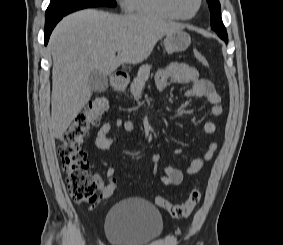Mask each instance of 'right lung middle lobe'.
<instances>
[{"label": "right lung middle lobe", "mask_w": 283, "mask_h": 245, "mask_svg": "<svg viewBox=\"0 0 283 245\" xmlns=\"http://www.w3.org/2000/svg\"><path fill=\"white\" fill-rule=\"evenodd\" d=\"M115 0H51L46 13L45 21L63 17L71 12L98 6L115 7Z\"/></svg>", "instance_id": "obj_1"}]
</instances>
